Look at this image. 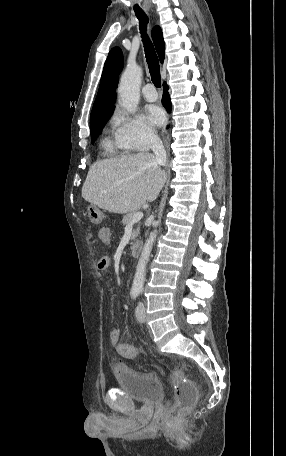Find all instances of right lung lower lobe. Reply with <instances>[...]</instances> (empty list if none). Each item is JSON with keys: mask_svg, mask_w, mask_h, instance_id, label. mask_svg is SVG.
<instances>
[{"mask_svg": "<svg viewBox=\"0 0 286 456\" xmlns=\"http://www.w3.org/2000/svg\"><path fill=\"white\" fill-rule=\"evenodd\" d=\"M163 86H164V90H163L164 93H163V97H162V103L166 109L170 110L171 101H170V97H169V93H168V86L166 83H164Z\"/></svg>", "mask_w": 286, "mask_h": 456, "instance_id": "right-lung-lower-lobe-1", "label": "right lung lower lobe"}]
</instances>
